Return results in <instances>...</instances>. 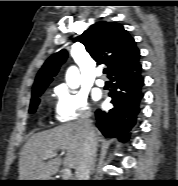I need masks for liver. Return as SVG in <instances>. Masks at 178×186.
Listing matches in <instances>:
<instances>
[{"label":"liver","instance_id":"liver-1","mask_svg":"<svg viewBox=\"0 0 178 186\" xmlns=\"http://www.w3.org/2000/svg\"><path fill=\"white\" fill-rule=\"evenodd\" d=\"M96 141L100 132L94 128ZM84 146L82 120L60 125L54 129L36 133L23 146L19 158V180H49L61 165L76 169ZM66 150V156L48 158L49 152Z\"/></svg>","mask_w":178,"mask_h":186}]
</instances>
